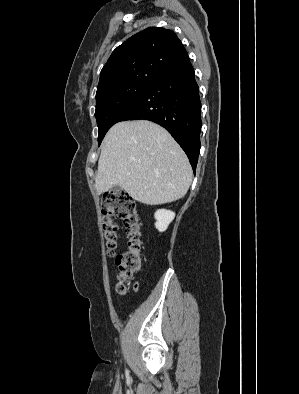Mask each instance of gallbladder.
I'll use <instances>...</instances> for the list:
<instances>
[{
    "label": "gallbladder",
    "mask_w": 299,
    "mask_h": 394,
    "mask_svg": "<svg viewBox=\"0 0 299 394\" xmlns=\"http://www.w3.org/2000/svg\"><path fill=\"white\" fill-rule=\"evenodd\" d=\"M121 190H122V187L119 186V185H116V186H113V187H112V191H114V192H119V191H121Z\"/></svg>",
    "instance_id": "bac80fb5"
}]
</instances>
